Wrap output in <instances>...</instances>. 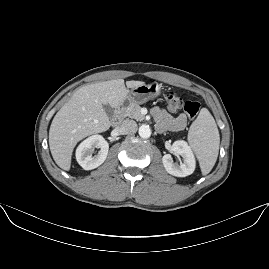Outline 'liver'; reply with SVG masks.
Segmentation results:
<instances>
[{
  "label": "liver",
  "mask_w": 269,
  "mask_h": 269,
  "mask_svg": "<svg viewBox=\"0 0 269 269\" xmlns=\"http://www.w3.org/2000/svg\"><path fill=\"white\" fill-rule=\"evenodd\" d=\"M142 81L123 79L90 84L78 89L55 115L50 131L49 146L56 164L68 171L77 142L109 129L111 123L103 105L118 108L129 93V88L142 85Z\"/></svg>",
  "instance_id": "liver-1"
}]
</instances>
